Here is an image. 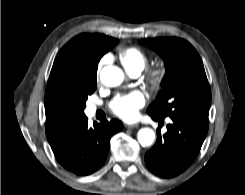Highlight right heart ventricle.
<instances>
[{"label": "right heart ventricle", "mask_w": 245, "mask_h": 195, "mask_svg": "<svg viewBox=\"0 0 245 195\" xmlns=\"http://www.w3.org/2000/svg\"><path fill=\"white\" fill-rule=\"evenodd\" d=\"M119 57L122 65L128 73L133 71L141 72L148 63L146 54L137 47H128L121 50Z\"/></svg>", "instance_id": "e07e8e85"}]
</instances>
